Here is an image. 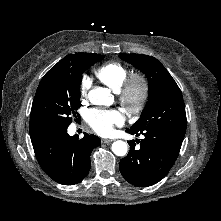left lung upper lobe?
Masks as SVG:
<instances>
[{
    "label": "left lung upper lobe",
    "mask_w": 221,
    "mask_h": 221,
    "mask_svg": "<svg viewBox=\"0 0 221 221\" xmlns=\"http://www.w3.org/2000/svg\"><path fill=\"white\" fill-rule=\"evenodd\" d=\"M120 58L143 72L149 81V100L140 119L131 128L176 129L179 117L186 119L182 93L165 67L154 57L143 54H121Z\"/></svg>",
    "instance_id": "left-lung-upper-lobe-1"
}]
</instances>
